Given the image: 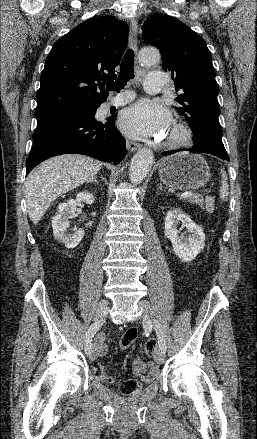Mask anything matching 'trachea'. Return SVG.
I'll return each instance as SVG.
<instances>
[{"instance_id":"obj_1","label":"trachea","mask_w":257,"mask_h":439,"mask_svg":"<svg viewBox=\"0 0 257 439\" xmlns=\"http://www.w3.org/2000/svg\"><path fill=\"white\" fill-rule=\"evenodd\" d=\"M134 52L127 50L121 62L119 76L116 81L106 83V88L111 91L119 92L125 87L130 79L134 78Z\"/></svg>"}]
</instances>
